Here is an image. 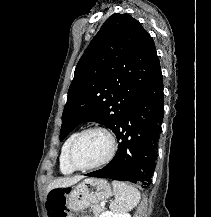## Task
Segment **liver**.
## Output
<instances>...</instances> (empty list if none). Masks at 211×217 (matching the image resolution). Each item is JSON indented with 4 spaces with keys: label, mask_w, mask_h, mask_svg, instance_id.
Listing matches in <instances>:
<instances>
[{
    "label": "liver",
    "mask_w": 211,
    "mask_h": 217,
    "mask_svg": "<svg viewBox=\"0 0 211 217\" xmlns=\"http://www.w3.org/2000/svg\"><path fill=\"white\" fill-rule=\"evenodd\" d=\"M82 178L83 176H74L69 178L56 179L48 185L47 192L55 188H65V187L72 186L77 182H79Z\"/></svg>",
    "instance_id": "1"
}]
</instances>
